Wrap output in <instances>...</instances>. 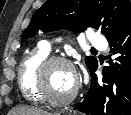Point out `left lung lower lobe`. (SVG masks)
<instances>
[{"instance_id":"1","label":"left lung lower lobe","mask_w":131,"mask_h":115,"mask_svg":"<svg viewBox=\"0 0 131 115\" xmlns=\"http://www.w3.org/2000/svg\"><path fill=\"white\" fill-rule=\"evenodd\" d=\"M107 40L116 58L103 68L101 82L95 74L98 64L90 71V89L74 110L86 115H131V19Z\"/></svg>"}]
</instances>
